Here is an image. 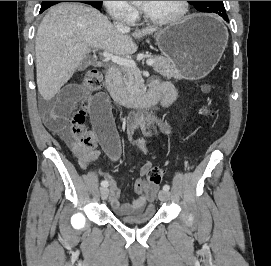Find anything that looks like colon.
Here are the masks:
<instances>
[{
    "mask_svg": "<svg viewBox=\"0 0 271 266\" xmlns=\"http://www.w3.org/2000/svg\"><path fill=\"white\" fill-rule=\"evenodd\" d=\"M103 80L97 69L88 70L83 78L82 87L88 94H94L102 88ZM90 101L87 99L83 103V109L79 111L73 119V127L71 136L73 138L72 148L78 153L90 151L94 147V138L84 131L82 125L85 121L86 109L89 107ZM202 113L208 117H212L213 111L208 105L202 107ZM163 177V171L159 167H150L146 173V180L150 185H158Z\"/></svg>",
    "mask_w": 271,
    "mask_h": 266,
    "instance_id": "obj_1",
    "label": "colon"
}]
</instances>
